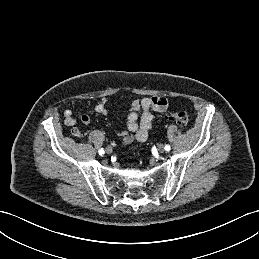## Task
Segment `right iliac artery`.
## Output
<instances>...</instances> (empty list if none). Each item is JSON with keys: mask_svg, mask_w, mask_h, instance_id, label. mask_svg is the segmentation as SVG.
I'll list each match as a JSON object with an SVG mask.
<instances>
[{"mask_svg": "<svg viewBox=\"0 0 259 259\" xmlns=\"http://www.w3.org/2000/svg\"><path fill=\"white\" fill-rule=\"evenodd\" d=\"M98 152H99L100 155H102V154H104V149L101 148Z\"/></svg>", "mask_w": 259, "mask_h": 259, "instance_id": "obj_1", "label": "right iliac artery"}]
</instances>
